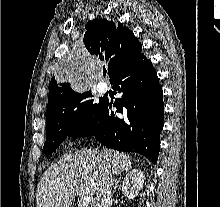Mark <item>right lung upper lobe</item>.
I'll use <instances>...</instances> for the list:
<instances>
[{
  "instance_id": "right-lung-upper-lobe-1",
  "label": "right lung upper lobe",
  "mask_w": 220,
  "mask_h": 207,
  "mask_svg": "<svg viewBox=\"0 0 220 207\" xmlns=\"http://www.w3.org/2000/svg\"><path fill=\"white\" fill-rule=\"evenodd\" d=\"M83 42L92 57L107 62L110 81L119 69L138 55L142 45L128 27L106 19H94L86 26ZM68 82H59L53 77L49 84L46 114L53 111L67 97L75 94Z\"/></svg>"
}]
</instances>
